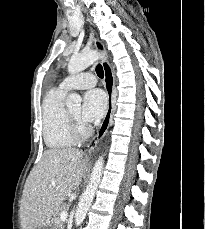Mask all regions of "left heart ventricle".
<instances>
[{
  "label": "left heart ventricle",
  "mask_w": 205,
  "mask_h": 229,
  "mask_svg": "<svg viewBox=\"0 0 205 229\" xmlns=\"http://www.w3.org/2000/svg\"><path fill=\"white\" fill-rule=\"evenodd\" d=\"M70 112L77 118L80 119V113H81V109L80 107H74L70 109Z\"/></svg>",
  "instance_id": "b2bd125f"
}]
</instances>
